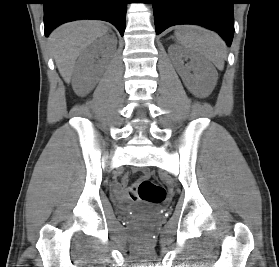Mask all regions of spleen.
<instances>
[{
	"label": "spleen",
	"mask_w": 279,
	"mask_h": 267,
	"mask_svg": "<svg viewBox=\"0 0 279 267\" xmlns=\"http://www.w3.org/2000/svg\"><path fill=\"white\" fill-rule=\"evenodd\" d=\"M175 37L178 43L198 53L219 70L224 68L226 45L216 33L197 26H181L176 29Z\"/></svg>",
	"instance_id": "obj_1"
}]
</instances>
